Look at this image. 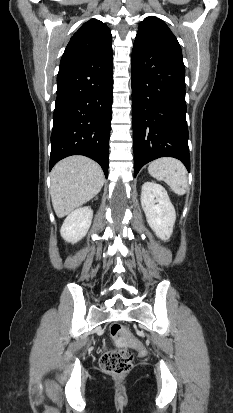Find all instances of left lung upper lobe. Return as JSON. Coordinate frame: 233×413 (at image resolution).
Here are the masks:
<instances>
[{"label":"left lung upper lobe","instance_id":"obj_1","mask_svg":"<svg viewBox=\"0 0 233 413\" xmlns=\"http://www.w3.org/2000/svg\"><path fill=\"white\" fill-rule=\"evenodd\" d=\"M134 43L158 44L182 54L181 47L174 34L164 21L154 16L147 17L140 23Z\"/></svg>","mask_w":233,"mask_h":413}]
</instances>
